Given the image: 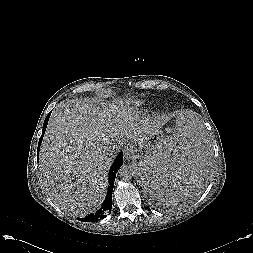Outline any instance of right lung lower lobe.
I'll return each mask as SVG.
<instances>
[{"mask_svg": "<svg viewBox=\"0 0 253 253\" xmlns=\"http://www.w3.org/2000/svg\"><path fill=\"white\" fill-rule=\"evenodd\" d=\"M51 112L45 118V121H44V124H43L42 135H41L39 143H38L37 154H39L41 141H42L44 133L46 131V127H47L48 120L50 118ZM122 164H123V153L120 152L118 154V156L116 157V159L114 160L112 166L110 167V170H109V187H108L106 198H105L101 208L93 215H89L85 218H78L80 221H84V222L98 221V220H101V219L105 218L106 213L111 211V209H112V191H113V186H114V180H115V177H116V173L118 172V170L122 166Z\"/></svg>", "mask_w": 253, "mask_h": 253, "instance_id": "obj_1", "label": "right lung lower lobe"}]
</instances>
